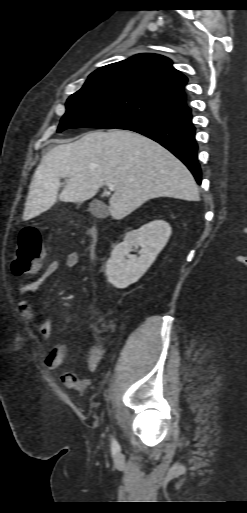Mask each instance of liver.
<instances>
[{
  "label": "liver",
  "instance_id": "obj_1",
  "mask_svg": "<svg viewBox=\"0 0 247 513\" xmlns=\"http://www.w3.org/2000/svg\"><path fill=\"white\" fill-rule=\"evenodd\" d=\"M61 178L68 180L58 194ZM108 183L115 185L109 201L115 220L153 198L200 199L190 171L159 143L128 130H97L58 145L42 157L30 184L23 218L40 215L58 199L82 203Z\"/></svg>",
  "mask_w": 247,
  "mask_h": 513
}]
</instances>
